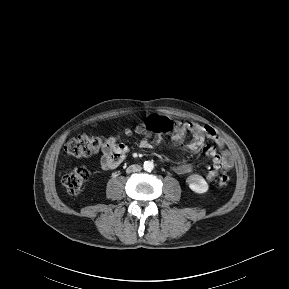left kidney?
<instances>
[{"label":"left kidney","mask_w":289,"mask_h":289,"mask_svg":"<svg viewBox=\"0 0 289 289\" xmlns=\"http://www.w3.org/2000/svg\"><path fill=\"white\" fill-rule=\"evenodd\" d=\"M187 182L189 185V188L194 191L195 193H205L208 190V184L205 181V179L198 175L194 174L187 178Z\"/></svg>","instance_id":"1"}]
</instances>
